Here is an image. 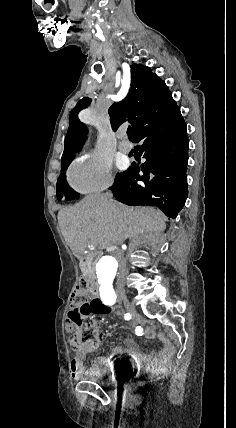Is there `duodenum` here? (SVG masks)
I'll return each mask as SVG.
<instances>
[{
	"label": "duodenum",
	"instance_id": "410a0bca",
	"mask_svg": "<svg viewBox=\"0 0 236 428\" xmlns=\"http://www.w3.org/2000/svg\"><path fill=\"white\" fill-rule=\"evenodd\" d=\"M78 259H79V263L82 265V266H84L85 265V263H86V257L84 256V255H79L78 256ZM91 293H92V295L93 296H95V297H101V290L99 289V286L97 285V283H95V282H92L91 283Z\"/></svg>",
	"mask_w": 236,
	"mask_h": 428
}]
</instances>
